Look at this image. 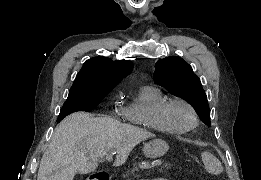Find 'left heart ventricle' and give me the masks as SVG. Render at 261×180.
Listing matches in <instances>:
<instances>
[{
    "mask_svg": "<svg viewBox=\"0 0 261 180\" xmlns=\"http://www.w3.org/2000/svg\"><path fill=\"white\" fill-rule=\"evenodd\" d=\"M165 117L174 125H187L190 121V115L187 109L181 106H173L165 111Z\"/></svg>",
    "mask_w": 261,
    "mask_h": 180,
    "instance_id": "1",
    "label": "left heart ventricle"
}]
</instances>
